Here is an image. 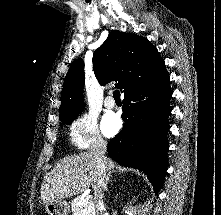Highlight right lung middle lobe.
<instances>
[{"label": "right lung middle lobe", "mask_w": 221, "mask_h": 215, "mask_svg": "<svg viewBox=\"0 0 221 215\" xmlns=\"http://www.w3.org/2000/svg\"><path fill=\"white\" fill-rule=\"evenodd\" d=\"M78 114H79V113H78ZM78 114H75V115L70 116V117H68V118L62 119L61 121L64 122V123H66V124H70V123L76 118V116H77Z\"/></svg>", "instance_id": "obj_1"}]
</instances>
